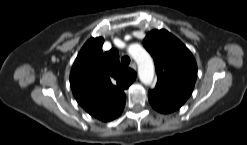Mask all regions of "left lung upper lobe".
<instances>
[{
	"label": "left lung upper lobe",
	"mask_w": 247,
	"mask_h": 145,
	"mask_svg": "<svg viewBox=\"0 0 247 145\" xmlns=\"http://www.w3.org/2000/svg\"><path fill=\"white\" fill-rule=\"evenodd\" d=\"M143 45L154 59L155 88L188 99L197 77V64L189 49L166 30H152Z\"/></svg>",
	"instance_id": "obj_1"
}]
</instances>
